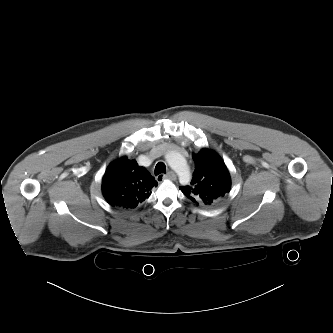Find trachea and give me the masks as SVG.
Wrapping results in <instances>:
<instances>
[{
  "label": "trachea",
  "instance_id": "1",
  "mask_svg": "<svg viewBox=\"0 0 333 333\" xmlns=\"http://www.w3.org/2000/svg\"><path fill=\"white\" fill-rule=\"evenodd\" d=\"M155 175H159L161 173H166V166L163 162H159L157 163V165L155 166Z\"/></svg>",
  "mask_w": 333,
  "mask_h": 333
}]
</instances>
